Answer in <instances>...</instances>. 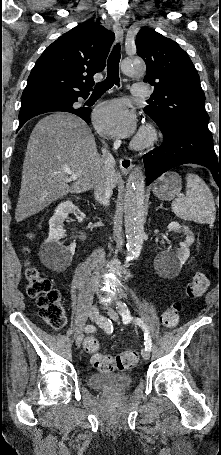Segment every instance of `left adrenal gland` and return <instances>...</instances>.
<instances>
[{
    "mask_svg": "<svg viewBox=\"0 0 221 455\" xmlns=\"http://www.w3.org/2000/svg\"><path fill=\"white\" fill-rule=\"evenodd\" d=\"M158 209H165V208L163 207L162 204H160V206H158L156 210H158Z\"/></svg>",
    "mask_w": 221,
    "mask_h": 455,
    "instance_id": "left-adrenal-gland-1",
    "label": "left adrenal gland"
}]
</instances>
